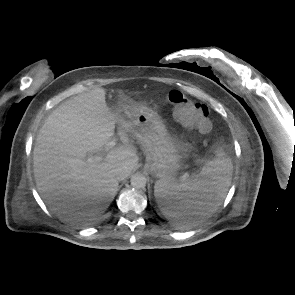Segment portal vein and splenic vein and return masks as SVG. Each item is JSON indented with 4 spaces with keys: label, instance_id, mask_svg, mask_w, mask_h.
<instances>
[{
    "label": "portal vein and splenic vein",
    "instance_id": "obj_1",
    "mask_svg": "<svg viewBox=\"0 0 295 295\" xmlns=\"http://www.w3.org/2000/svg\"><path fill=\"white\" fill-rule=\"evenodd\" d=\"M116 145V142L115 141H110L106 144L105 146V151H108L109 149H111L112 147H114ZM102 160V157L101 156H91L87 159V162L88 163H96V162H99Z\"/></svg>",
    "mask_w": 295,
    "mask_h": 295
}]
</instances>
